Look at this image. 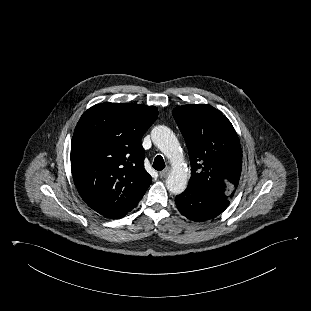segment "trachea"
Segmentation results:
<instances>
[{
  "label": "trachea",
  "instance_id": "1",
  "mask_svg": "<svg viewBox=\"0 0 311 311\" xmlns=\"http://www.w3.org/2000/svg\"><path fill=\"white\" fill-rule=\"evenodd\" d=\"M153 168L158 171H161L165 168V162L161 155L156 156L154 159Z\"/></svg>",
  "mask_w": 311,
  "mask_h": 311
}]
</instances>
